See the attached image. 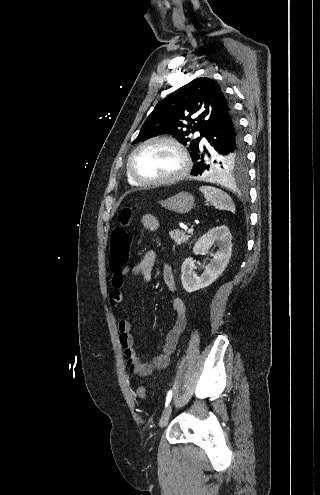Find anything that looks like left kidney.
<instances>
[{
	"mask_svg": "<svg viewBox=\"0 0 320 495\" xmlns=\"http://www.w3.org/2000/svg\"><path fill=\"white\" fill-rule=\"evenodd\" d=\"M231 240L232 236L229 229L223 225L211 229L198 240L193 248L195 255L208 252L213 245L217 246L218 249L211 254L210 263L200 277L194 276L195 261L193 258L189 257L183 262L181 281L187 292H194L211 285L223 273L232 254Z\"/></svg>",
	"mask_w": 320,
	"mask_h": 495,
	"instance_id": "left-kidney-1",
	"label": "left kidney"
}]
</instances>
